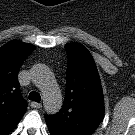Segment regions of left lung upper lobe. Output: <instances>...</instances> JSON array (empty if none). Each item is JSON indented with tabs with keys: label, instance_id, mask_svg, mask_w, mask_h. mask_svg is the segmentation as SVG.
<instances>
[{
	"label": "left lung upper lobe",
	"instance_id": "5c2ea615",
	"mask_svg": "<svg viewBox=\"0 0 135 135\" xmlns=\"http://www.w3.org/2000/svg\"><path fill=\"white\" fill-rule=\"evenodd\" d=\"M68 54L66 93L62 109L45 120L53 135H92L103 119L100 77L90 52L81 44L65 45Z\"/></svg>",
	"mask_w": 135,
	"mask_h": 135
}]
</instances>
